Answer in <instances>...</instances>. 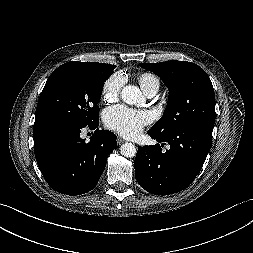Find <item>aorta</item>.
Returning a JSON list of instances; mask_svg holds the SVG:
<instances>
[{
    "mask_svg": "<svg viewBox=\"0 0 253 253\" xmlns=\"http://www.w3.org/2000/svg\"><path fill=\"white\" fill-rule=\"evenodd\" d=\"M122 100L129 105L140 106L145 102V98L142 95L140 89L134 85H127L123 87L121 91ZM137 149L132 143H125L121 145L120 153L127 158L134 157Z\"/></svg>",
    "mask_w": 253,
    "mask_h": 253,
    "instance_id": "762f6f07",
    "label": "aorta"
}]
</instances>
